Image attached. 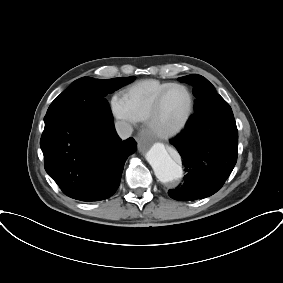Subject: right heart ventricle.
I'll use <instances>...</instances> for the list:
<instances>
[{
  "label": "right heart ventricle",
  "instance_id": "obj_1",
  "mask_svg": "<svg viewBox=\"0 0 283 283\" xmlns=\"http://www.w3.org/2000/svg\"><path fill=\"white\" fill-rule=\"evenodd\" d=\"M172 82L158 79L141 80L122 92V99L126 103L135 121L147 120L157 95Z\"/></svg>",
  "mask_w": 283,
  "mask_h": 283
}]
</instances>
